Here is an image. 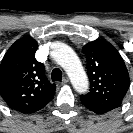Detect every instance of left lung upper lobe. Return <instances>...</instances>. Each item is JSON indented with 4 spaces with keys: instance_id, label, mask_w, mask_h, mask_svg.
I'll list each match as a JSON object with an SVG mask.
<instances>
[{
    "instance_id": "obj_1",
    "label": "left lung upper lobe",
    "mask_w": 133,
    "mask_h": 133,
    "mask_svg": "<svg viewBox=\"0 0 133 133\" xmlns=\"http://www.w3.org/2000/svg\"><path fill=\"white\" fill-rule=\"evenodd\" d=\"M83 52L87 60L90 91L81 95V103L97 114L119 107L130 85L121 55L113 45L102 39L86 44Z\"/></svg>"
}]
</instances>
